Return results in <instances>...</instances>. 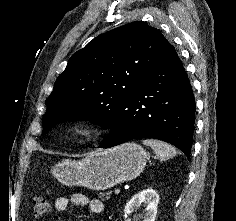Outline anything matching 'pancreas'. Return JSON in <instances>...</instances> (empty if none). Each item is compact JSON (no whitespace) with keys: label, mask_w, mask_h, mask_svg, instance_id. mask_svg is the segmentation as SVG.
I'll list each match as a JSON object with an SVG mask.
<instances>
[{"label":"pancreas","mask_w":236,"mask_h":221,"mask_svg":"<svg viewBox=\"0 0 236 221\" xmlns=\"http://www.w3.org/2000/svg\"><path fill=\"white\" fill-rule=\"evenodd\" d=\"M109 195H110V193H106V195L105 194H103V193H101L100 194V198H101V200H108L110 197H109Z\"/></svg>","instance_id":"obj_1"}]
</instances>
